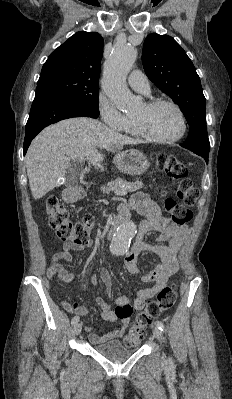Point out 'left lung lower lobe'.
<instances>
[{
	"instance_id": "left-lung-lower-lobe-1",
	"label": "left lung lower lobe",
	"mask_w": 232,
	"mask_h": 399,
	"mask_svg": "<svg viewBox=\"0 0 232 399\" xmlns=\"http://www.w3.org/2000/svg\"><path fill=\"white\" fill-rule=\"evenodd\" d=\"M197 155L203 157L206 160V163L208 164L209 154L208 155H206V154H197Z\"/></svg>"
}]
</instances>
